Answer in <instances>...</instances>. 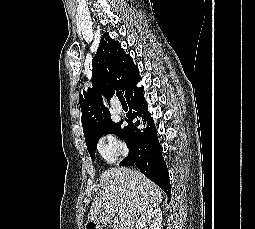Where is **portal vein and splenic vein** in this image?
I'll use <instances>...</instances> for the list:
<instances>
[{"label":"portal vein and splenic vein","mask_w":255,"mask_h":229,"mask_svg":"<svg viewBox=\"0 0 255 229\" xmlns=\"http://www.w3.org/2000/svg\"><path fill=\"white\" fill-rule=\"evenodd\" d=\"M123 214H124L123 210H119V211H118V215H119V216H122Z\"/></svg>","instance_id":"obj_1"}]
</instances>
